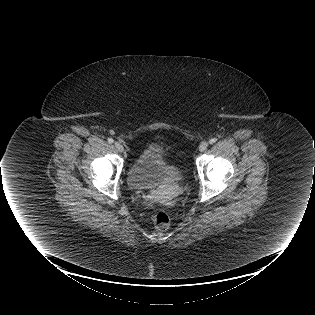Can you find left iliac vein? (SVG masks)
<instances>
[{
    "mask_svg": "<svg viewBox=\"0 0 315 315\" xmlns=\"http://www.w3.org/2000/svg\"><path fill=\"white\" fill-rule=\"evenodd\" d=\"M207 147H208V142L204 141V142H202V143L200 144L199 150H200L201 152H203V151H205V150L207 149Z\"/></svg>",
    "mask_w": 315,
    "mask_h": 315,
    "instance_id": "obj_1",
    "label": "left iliac vein"
}]
</instances>
